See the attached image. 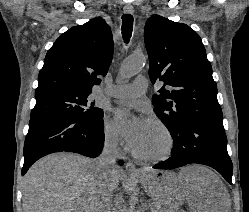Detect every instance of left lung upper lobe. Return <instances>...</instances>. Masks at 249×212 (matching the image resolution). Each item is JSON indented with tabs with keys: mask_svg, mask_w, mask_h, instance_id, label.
<instances>
[{
	"mask_svg": "<svg viewBox=\"0 0 249 212\" xmlns=\"http://www.w3.org/2000/svg\"><path fill=\"white\" fill-rule=\"evenodd\" d=\"M144 39L151 82H164L152 104L165 126L174 131L185 120H222L217 86L200 36L186 24L153 15L145 24Z\"/></svg>",
	"mask_w": 249,
	"mask_h": 212,
	"instance_id": "5c2ea615",
	"label": "left lung upper lobe"
}]
</instances>
